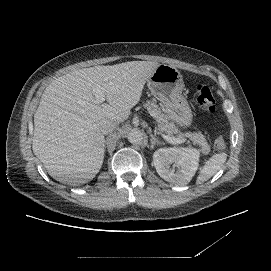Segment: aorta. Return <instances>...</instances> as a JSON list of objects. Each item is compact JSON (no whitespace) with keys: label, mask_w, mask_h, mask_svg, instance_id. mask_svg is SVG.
I'll list each match as a JSON object with an SVG mask.
<instances>
[{"label":"aorta","mask_w":271,"mask_h":271,"mask_svg":"<svg viewBox=\"0 0 271 271\" xmlns=\"http://www.w3.org/2000/svg\"><path fill=\"white\" fill-rule=\"evenodd\" d=\"M128 141L131 143V144H139L143 141V134L140 130H131L129 133H128Z\"/></svg>","instance_id":"1"}]
</instances>
